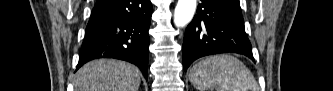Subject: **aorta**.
<instances>
[{
  "mask_svg": "<svg viewBox=\"0 0 333 91\" xmlns=\"http://www.w3.org/2000/svg\"><path fill=\"white\" fill-rule=\"evenodd\" d=\"M196 10V0H178L174 12V24L177 27L186 26L193 18Z\"/></svg>",
  "mask_w": 333,
  "mask_h": 91,
  "instance_id": "obj_1",
  "label": "aorta"
}]
</instances>
